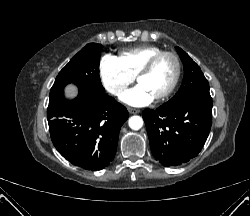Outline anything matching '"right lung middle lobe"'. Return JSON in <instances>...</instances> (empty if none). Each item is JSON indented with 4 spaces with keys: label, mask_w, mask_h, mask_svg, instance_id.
Here are the masks:
<instances>
[{
    "label": "right lung middle lobe",
    "mask_w": 250,
    "mask_h": 216,
    "mask_svg": "<svg viewBox=\"0 0 250 216\" xmlns=\"http://www.w3.org/2000/svg\"><path fill=\"white\" fill-rule=\"evenodd\" d=\"M103 46L87 44L59 72L50 91V100L63 94L64 87L73 83L79 89L104 92L99 77V60Z\"/></svg>",
    "instance_id": "right-lung-middle-lobe-1"
}]
</instances>
